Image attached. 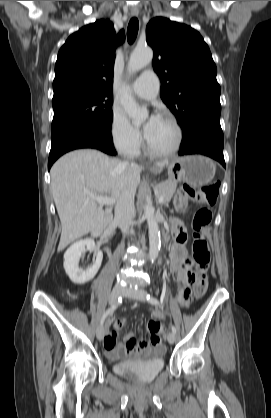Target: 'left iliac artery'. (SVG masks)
<instances>
[{"label": "left iliac artery", "mask_w": 271, "mask_h": 418, "mask_svg": "<svg viewBox=\"0 0 271 418\" xmlns=\"http://www.w3.org/2000/svg\"><path fill=\"white\" fill-rule=\"evenodd\" d=\"M147 300L152 304V305H159V301L157 298L153 297L152 295H147ZM171 330L174 334H176L177 329L174 325H171Z\"/></svg>", "instance_id": "44dca946"}]
</instances>
